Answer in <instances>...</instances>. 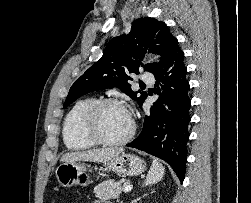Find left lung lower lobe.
Masks as SVG:
<instances>
[{
	"mask_svg": "<svg viewBox=\"0 0 251 203\" xmlns=\"http://www.w3.org/2000/svg\"><path fill=\"white\" fill-rule=\"evenodd\" d=\"M184 53L175 39L163 63L153 72L160 98L145 115L140 135L126 146L137 148L166 161L183 181L185 177L190 89ZM164 84V85H163ZM159 86L162 87V91Z\"/></svg>",
	"mask_w": 251,
	"mask_h": 203,
	"instance_id": "0a47b994",
	"label": "left lung lower lobe"
}]
</instances>
